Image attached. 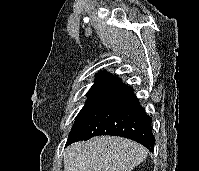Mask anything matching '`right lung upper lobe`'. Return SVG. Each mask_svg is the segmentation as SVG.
<instances>
[{
  "instance_id": "1",
  "label": "right lung upper lobe",
  "mask_w": 199,
  "mask_h": 171,
  "mask_svg": "<svg viewBox=\"0 0 199 171\" xmlns=\"http://www.w3.org/2000/svg\"><path fill=\"white\" fill-rule=\"evenodd\" d=\"M100 76H112V74L107 73L106 71H101L99 74L96 75V77H100Z\"/></svg>"
}]
</instances>
